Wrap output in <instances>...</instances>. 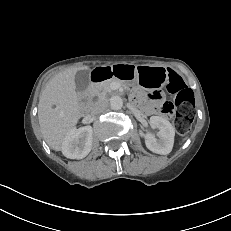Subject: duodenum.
Masks as SVG:
<instances>
[{"mask_svg": "<svg viewBox=\"0 0 231 231\" xmlns=\"http://www.w3.org/2000/svg\"><path fill=\"white\" fill-rule=\"evenodd\" d=\"M94 73H97V71H95ZM93 73V74H94ZM92 74V75H93ZM92 80L95 82L96 80L94 79V78H92ZM91 98V92L90 91H86V92H84L83 94H82V99L84 100V101H88L89 99Z\"/></svg>", "mask_w": 231, "mask_h": 231, "instance_id": "obj_1", "label": "duodenum"}]
</instances>
